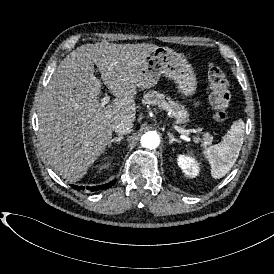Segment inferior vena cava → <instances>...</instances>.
<instances>
[{
  "label": "inferior vena cava",
  "mask_w": 274,
  "mask_h": 274,
  "mask_svg": "<svg viewBox=\"0 0 274 274\" xmlns=\"http://www.w3.org/2000/svg\"><path fill=\"white\" fill-rule=\"evenodd\" d=\"M133 131V123L129 120L121 121L115 126V132L119 135L127 134Z\"/></svg>",
  "instance_id": "inferior-vena-cava-1"
}]
</instances>
